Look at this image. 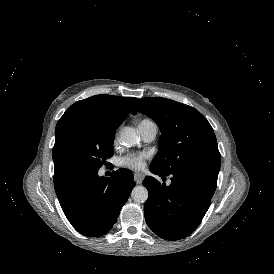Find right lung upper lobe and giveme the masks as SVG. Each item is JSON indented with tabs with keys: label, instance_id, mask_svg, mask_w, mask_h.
<instances>
[{
	"label": "right lung upper lobe",
	"instance_id": "right-lung-upper-lobe-1",
	"mask_svg": "<svg viewBox=\"0 0 274 274\" xmlns=\"http://www.w3.org/2000/svg\"><path fill=\"white\" fill-rule=\"evenodd\" d=\"M135 101L136 98L101 94L74 103L66 110L56 125L55 143L62 128L72 120L86 115H118L125 119ZM54 170V179L64 176L55 162Z\"/></svg>",
	"mask_w": 274,
	"mask_h": 274
}]
</instances>
